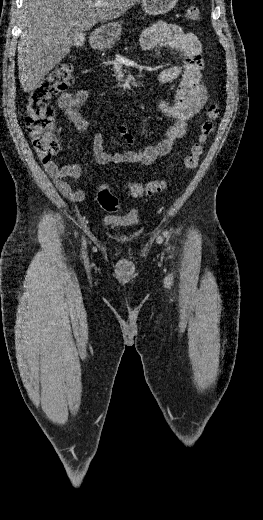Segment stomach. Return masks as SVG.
Returning a JSON list of instances; mask_svg holds the SVG:
<instances>
[{
  "label": "stomach",
  "instance_id": "obj_1",
  "mask_svg": "<svg viewBox=\"0 0 263 520\" xmlns=\"http://www.w3.org/2000/svg\"><path fill=\"white\" fill-rule=\"evenodd\" d=\"M178 0H142V7L148 15H161L175 7ZM122 27L119 22L101 26L90 37V44L95 49H103L111 39L118 37Z\"/></svg>",
  "mask_w": 263,
  "mask_h": 520
}]
</instances>
